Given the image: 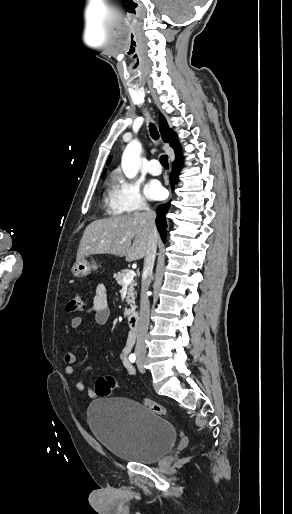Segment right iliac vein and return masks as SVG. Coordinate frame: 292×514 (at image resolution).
<instances>
[{
	"mask_svg": "<svg viewBox=\"0 0 292 514\" xmlns=\"http://www.w3.org/2000/svg\"><path fill=\"white\" fill-rule=\"evenodd\" d=\"M139 361H140V362H142V363H144V360H143V358H139Z\"/></svg>",
	"mask_w": 292,
	"mask_h": 514,
	"instance_id": "1",
	"label": "right iliac vein"
}]
</instances>
